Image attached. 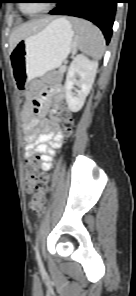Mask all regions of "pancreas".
<instances>
[{"mask_svg": "<svg viewBox=\"0 0 136 296\" xmlns=\"http://www.w3.org/2000/svg\"><path fill=\"white\" fill-rule=\"evenodd\" d=\"M65 71V69L61 72L60 77H62V73Z\"/></svg>", "mask_w": 136, "mask_h": 296, "instance_id": "1", "label": "pancreas"}]
</instances>
